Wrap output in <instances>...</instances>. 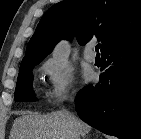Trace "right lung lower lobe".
Segmentation results:
<instances>
[{
    "instance_id": "1",
    "label": "right lung lower lobe",
    "mask_w": 141,
    "mask_h": 139,
    "mask_svg": "<svg viewBox=\"0 0 141 139\" xmlns=\"http://www.w3.org/2000/svg\"><path fill=\"white\" fill-rule=\"evenodd\" d=\"M100 81L76 96L79 117L120 139H141V34L101 53Z\"/></svg>"
}]
</instances>
